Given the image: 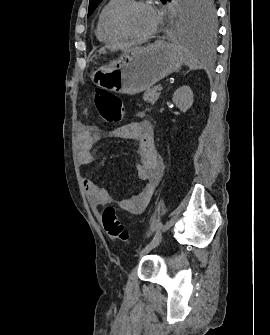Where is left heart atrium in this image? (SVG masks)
<instances>
[{"instance_id":"left-heart-atrium-1","label":"left heart atrium","mask_w":270,"mask_h":335,"mask_svg":"<svg viewBox=\"0 0 270 335\" xmlns=\"http://www.w3.org/2000/svg\"><path fill=\"white\" fill-rule=\"evenodd\" d=\"M150 17H151V20H152V26H151V30H153L154 28H156V26L158 25L159 21H160V17L158 16V14L152 10V9H147Z\"/></svg>"}]
</instances>
